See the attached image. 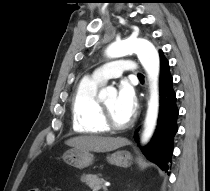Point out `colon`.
Instances as JSON below:
<instances>
[{
	"label": "colon",
	"instance_id": "colon-1",
	"mask_svg": "<svg viewBox=\"0 0 210 191\" xmlns=\"http://www.w3.org/2000/svg\"><path fill=\"white\" fill-rule=\"evenodd\" d=\"M29 191H42L40 188H32Z\"/></svg>",
	"mask_w": 210,
	"mask_h": 191
}]
</instances>
